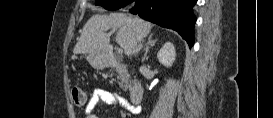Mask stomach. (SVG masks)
Listing matches in <instances>:
<instances>
[{"label":"stomach","mask_w":273,"mask_h":118,"mask_svg":"<svg viewBox=\"0 0 273 118\" xmlns=\"http://www.w3.org/2000/svg\"><path fill=\"white\" fill-rule=\"evenodd\" d=\"M88 62L91 66L97 70L105 68L108 64V60L104 52H95L87 56Z\"/></svg>","instance_id":"0dacf381"}]
</instances>
